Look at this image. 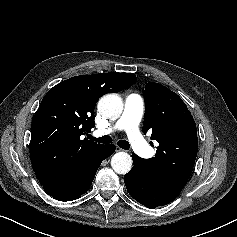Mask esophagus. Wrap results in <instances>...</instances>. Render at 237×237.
<instances>
[{"mask_svg": "<svg viewBox=\"0 0 237 237\" xmlns=\"http://www.w3.org/2000/svg\"><path fill=\"white\" fill-rule=\"evenodd\" d=\"M116 151H123V149L120 147H116Z\"/></svg>", "mask_w": 237, "mask_h": 237, "instance_id": "34e87169", "label": "esophagus"}]
</instances>
